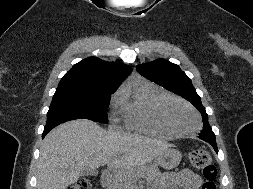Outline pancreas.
Wrapping results in <instances>:
<instances>
[{"instance_id": "1", "label": "pancreas", "mask_w": 253, "mask_h": 189, "mask_svg": "<svg viewBox=\"0 0 253 189\" xmlns=\"http://www.w3.org/2000/svg\"><path fill=\"white\" fill-rule=\"evenodd\" d=\"M143 176L152 181L160 176V171L157 166H147L142 170ZM134 183V174L129 171L121 170L116 172L111 178L107 189H131Z\"/></svg>"}]
</instances>
